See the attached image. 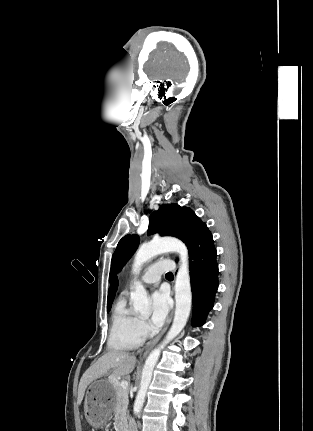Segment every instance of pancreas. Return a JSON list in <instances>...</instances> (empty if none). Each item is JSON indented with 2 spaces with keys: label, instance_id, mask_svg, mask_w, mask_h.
<instances>
[{
  "label": "pancreas",
  "instance_id": "cf45deb5",
  "mask_svg": "<svg viewBox=\"0 0 313 431\" xmlns=\"http://www.w3.org/2000/svg\"><path fill=\"white\" fill-rule=\"evenodd\" d=\"M116 402L114 408V420L118 429L127 422L128 390L120 387V383L115 380Z\"/></svg>",
  "mask_w": 313,
  "mask_h": 431
}]
</instances>
